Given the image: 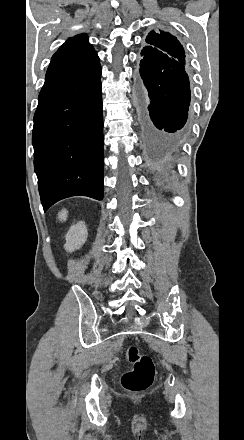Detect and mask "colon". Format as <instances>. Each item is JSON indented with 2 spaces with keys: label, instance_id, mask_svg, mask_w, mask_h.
Returning <instances> with one entry per match:
<instances>
[{
  "label": "colon",
  "instance_id": "obj_1",
  "mask_svg": "<svg viewBox=\"0 0 244 440\" xmlns=\"http://www.w3.org/2000/svg\"><path fill=\"white\" fill-rule=\"evenodd\" d=\"M126 360L136 365V371L124 374L122 385L133 391H143L154 381L155 367L150 356L142 354L137 346L130 345L125 353ZM141 374V375H140Z\"/></svg>",
  "mask_w": 244,
  "mask_h": 440
}]
</instances>
